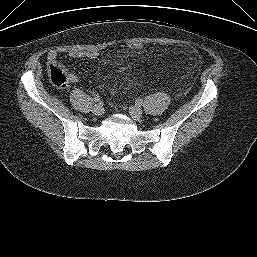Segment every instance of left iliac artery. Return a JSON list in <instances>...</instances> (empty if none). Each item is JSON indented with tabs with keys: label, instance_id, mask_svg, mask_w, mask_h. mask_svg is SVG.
<instances>
[{
	"label": "left iliac artery",
	"instance_id": "obj_1",
	"mask_svg": "<svg viewBox=\"0 0 257 257\" xmlns=\"http://www.w3.org/2000/svg\"><path fill=\"white\" fill-rule=\"evenodd\" d=\"M142 103H143V100H142V99L138 98V99L136 100V105L141 106Z\"/></svg>",
	"mask_w": 257,
	"mask_h": 257
}]
</instances>
